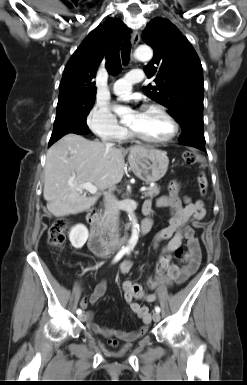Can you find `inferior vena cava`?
<instances>
[{"label": "inferior vena cava", "instance_id": "obj_1", "mask_svg": "<svg viewBox=\"0 0 247 385\" xmlns=\"http://www.w3.org/2000/svg\"><path fill=\"white\" fill-rule=\"evenodd\" d=\"M105 145L107 147L112 146V144L109 142H106ZM104 202H105V207H106V210H107L109 218H110V222H111V226H112V232L115 233L117 228H118L117 223H118V218H119V214H120V208H119L118 202L111 195H106L104 198ZM113 236L115 238H117L118 235H113ZM115 238H114V240H115Z\"/></svg>", "mask_w": 247, "mask_h": 385}]
</instances>
